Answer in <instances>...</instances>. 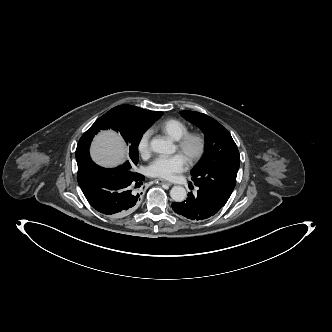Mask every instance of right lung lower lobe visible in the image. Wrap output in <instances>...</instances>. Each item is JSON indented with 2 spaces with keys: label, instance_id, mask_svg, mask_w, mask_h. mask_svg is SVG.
Wrapping results in <instances>:
<instances>
[{
  "label": "right lung lower lobe",
  "instance_id": "obj_1",
  "mask_svg": "<svg viewBox=\"0 0 332 332\" xmlns=\"http://www.w3.org/2000/svg\"><path fill=\"white\" fill-rule=\"evenodd\" d=\"M78 183L90 205L102 214L121 217L137 209L141 201L140 192L132 187H140L144 176L127 173L121 167L103 168L90 161L78 172Z\"/></svg>",
  "mask_w": 332,
  "mask_h": 332
}]
</instances>
